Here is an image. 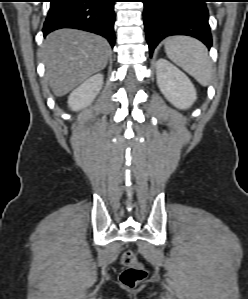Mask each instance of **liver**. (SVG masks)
Instances as JSON below:
<instances>
[{"mask_svg":"<svg viewBox=\"0 0 248 299\" xmlns=\"http://www.w3.org/2000/svg\"><path fill=\"white\" fill-rule=\"evenodd\" d=\"M111 53L103 37L75 29L50 33L43 44L46 80L53 93L64 96L106 67Z\"/></svg>","mask_w":248,"mask_h":299,"instance_id":"6515ba94","label":"liver"}]
</instances>
